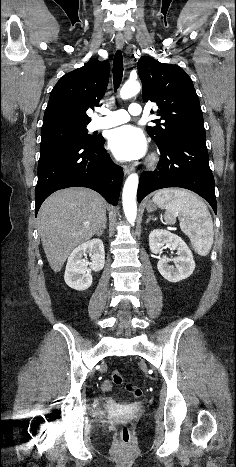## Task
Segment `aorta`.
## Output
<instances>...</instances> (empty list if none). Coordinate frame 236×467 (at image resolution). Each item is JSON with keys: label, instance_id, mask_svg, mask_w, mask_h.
I'll return each mask as SVG.
<instances>
[{"label": "aorta", "instance_id": "aorta-1", "mask_svg": "<svg viewBox=\"0 0 236 467\" xmlns=\"http://www.w3.org/2000/svg\"><path fill=\"white\" fill-rule=\"evenodd\" d=\"M141 89L140 83L136 80H128L120 91V97L122 99H128L139 93ZM139 183V177L136 173H132L128 176L125 181L122 204L126 219L129 223L133 224L137 217V204H136V193Z\"/></svg>", "mask_w": 236, "mask_h": 467}]
</instances>
